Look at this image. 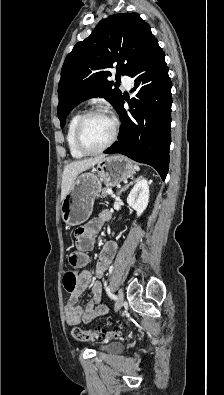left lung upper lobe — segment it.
I'll list each match as a JSON object with an SVG mask.
<instances>
[{
	"label": "left lung upper lobe",
	"mask_w": 224,
	"mask_h": 395,
	"mask_svg": "<svg viewBox=\"0 0 224 395\" xmlns=\"http://www.w3.org/2000/svg\"><path fill=\"white\" fill-rule=\"evenodd\" d=\"M157 39L137 13L114 14L103 19L92 34L78 42L64 61L58 85L57 109L61 128L71 110L82 101L104 97L115 108L122 93L107 80L109 68L128 75L147 48Z\"/></svg>",
	"instance_id": "1"
}]
</instances>
